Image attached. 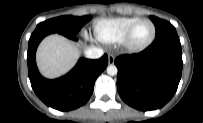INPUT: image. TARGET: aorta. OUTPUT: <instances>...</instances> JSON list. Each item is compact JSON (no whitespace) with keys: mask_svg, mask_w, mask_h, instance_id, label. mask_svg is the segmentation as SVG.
I'll return each mask as SVG.
<instances>
[{"mask_svg":"<svg viewBox=\"0 0 203 123\" xmlns=\"http://www.w3.org/2000/svg\"><path fill=\"white\" fill-rule=\"evenodd\" d=\"M117 72H118V69H117V67L115 65H109L107 67V73H108V75L114 76V75L117 74Z\"/></svg>","mask_w":203,"mask_h":123,"instance_id":"aorta-1","label":"aorta"}]
</instances>
